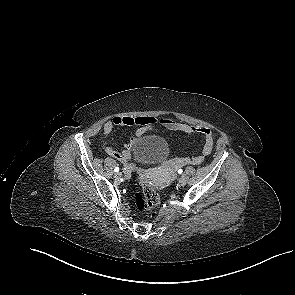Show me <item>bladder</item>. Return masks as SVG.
Returning <instances> with one entry per match:
<instances>
[{
	"label": "bladder",
	"mask_w": 295,
	"mask_h": 295,
	"mask_svg": "<svg viewBox=\"0 0 295 295\" xmlns=\"http://www.w3.org/2000/svg\"><path fill=\"white\" fill-rule=\"evenodd\" d=\"M169 148L166 141L155 135L145 136L135 141L134 159L141 165L161 163L168 156Z\"/></svg>",
	"instance_id": "1"
}]
</instances>
